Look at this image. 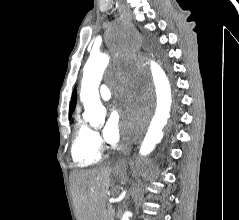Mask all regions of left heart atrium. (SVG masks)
<instances>
[{
  "label": "left heart atrium",
  "mask_w": 239,
  "mask_h": 220,
  "mask_svg": "<svg viewBox=\"0 0 239 220\" xmlns=\"http://www.w3.org/2000/svg\"><path fill=\"white\" fill-rule=\"evenodd\" d=\"M120 108H122V110ZM121 113H131V116L123 124L121 123ZM140 124V118L132 114L130 110L129 98L124 93H120L103 129V137L110 144L117 143L121 137L122 126L130 134L133 128Z\"/></svg>",
  "instance_id": "obj_1"
}]
</instances>
